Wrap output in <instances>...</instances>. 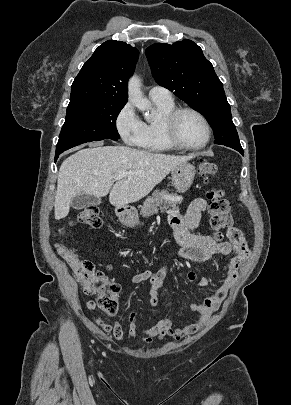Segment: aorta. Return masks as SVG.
<instances>
[{
  "label": "aorta",
  "mask_w": 291,
  "mask_h": 405,
  "mask_svg": "<svg viewBox=\"0 0 291 405\" xmlns=\"http://www.w3.org/2000/svg\"><path fill=\"white\" fill-rule=\"evenodd\" d=\"M129 101L137 107L138 110L145 112L146 119H150L151 104L141 91V81L137 75H133L128 82Z\"/></svg>",
  "instance_id": "762f6f07"
}]
</instances>
